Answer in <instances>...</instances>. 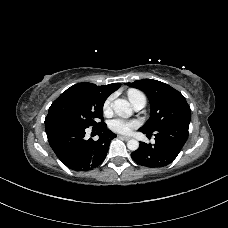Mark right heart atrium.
<instances>
[{"mask_svg":"<svg viewBox=\"0 0 228 228\" xmlns=\"http://www.w3.org/2000/svg\"><path fill=\"white\" fill-rule=\"evenodd\" d=\"M111 101H112V98L111 97H108L104 103H103V110L104 112H108L109 109H110V106H111Z\"/></svg>","mask_w":228,"mask_h":228,"instance_id":"d8ad5b80","label":"right heart atrium"}]
</instances>
